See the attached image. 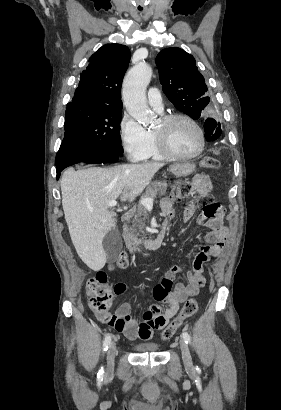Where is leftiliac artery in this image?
I'll return each mask as SVG.
<instances>
[{"label": "left iliac artery", "mask_w": 281, "mask_h": 410, "mask_svg": "<svg viewBox=\"0 0 281 410\" xmlns=\"http://www.w3.org/2000/svg\"><path fill=\"white\" fill-rule=\"evenodd\" d=\"M182 337L184 338L186 344H190V343H191L190 335H189L186 331H183V332H182Z\"/></svg>", "instance_id": "1"}]
</instances>
